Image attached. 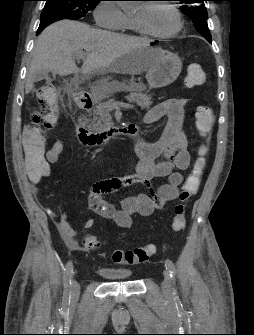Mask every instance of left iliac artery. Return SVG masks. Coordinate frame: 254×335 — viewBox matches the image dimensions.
<instances>
[{
  "label": "left iliac artery",
  "instance_id": "obj_1",
  "mask_svg": "<svg viewBox=\"0 0 254 335\" xmlns=\"http://www.w3.org/2000/svg\"><path fill=\"white\" fill-rule=\"evenodd\" d=\"M165 266H166V269L168 270V272L170 274V277L173 281V284H175L176 268H175L174 263L170 259H166L165 260ZM173 294L174 295L177 294L175 289H173Z\"/></svg>",
  "mask_w": 254,
  "mask_h": 335
}]
</instances>
